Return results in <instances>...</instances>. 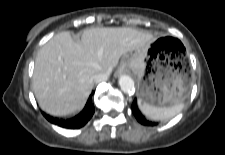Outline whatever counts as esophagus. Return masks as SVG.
<instances>
[{"label": "esophagus", "mask_w": 225, "mask_h": 155, "mask_svg": "<svg viewBox=\"0 0 225 155\" xmlns=\"http://www.w3.org/2000/svg\"><path fill=\"white\" fill-rule=\"evenodd\" d=\"M127 72H128V66L126 64H123L117 69L116 76L127 73Z\"/></svg>", "instance_id": "esophagus-1"}]
</instances>
